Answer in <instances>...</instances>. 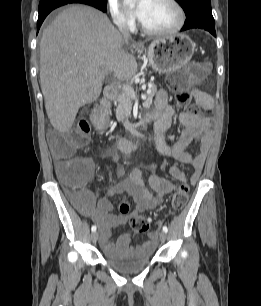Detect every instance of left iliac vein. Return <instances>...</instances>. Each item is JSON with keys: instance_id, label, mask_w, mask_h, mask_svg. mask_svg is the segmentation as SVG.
<instances>
[{"instance_id": "1", "label": "left iliac vein", "mask_w": 261, "mask_h": 306, "mask_svg": "<svg viewBox=\"0 0 261 306\" xmlns=\"http://www.w3.org/2000/svg\"><path fill=\"white\" fill-rule=\"evenodd\" d=\"M159 238H160V240H161L162 242H164V241H166V239H167V234H166L164 231H161V232L159 233Z\"/></svg>"}]
</instances>
